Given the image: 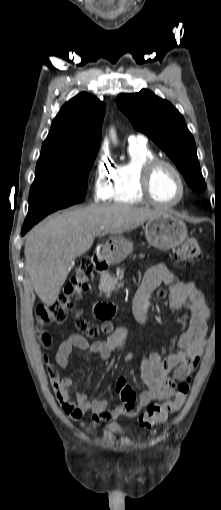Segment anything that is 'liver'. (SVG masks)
Returning a JSON list of instances; mask_svg holds the SVG:
<instances>
[{"label": "liver", "mask_w": 221, "mask_h": 510, "mask_svg": "<svg viewBox=\"0 0 221 510\" xmlns=\"http://www.w3.org/2000/svg\"><path fill=\"white\" fill-rule=\"evenodd\" d=\"M127 204L89 205L63 212L36 225L27 235L26 270L40 300L55 303L70 263L86 253L96 234L120 235L161 214Z\"/></svg>", "instance_id": "liver-1"}]
</instances>
